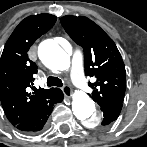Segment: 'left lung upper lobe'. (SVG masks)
<instances>
[{
  "mask_svg": "<svg viewBox=\"0 0 147 147\" xmlns=\"http://www.w3.org/2000/svg\"><path fill=\"white\" fill-rule=\"evenodd\" d=\"M61 24L68 35L84 50L85 75L95 78L89 82L91 97L101 108L122 103L126 88L125 66L113 40L92 20L67 15Z\"/></svg>",
  "mask_w": 147,
  "mask_h": 147,
  "instance_id": "left-lung-upper-lobe-1",
  "label": "left lung upper lobe"
}]
</instances>
